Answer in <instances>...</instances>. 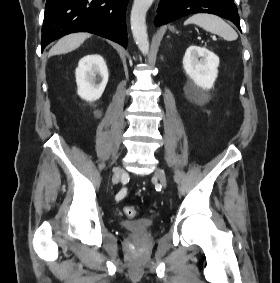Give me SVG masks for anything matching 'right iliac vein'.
Listing matches in <instances>:
<instances>
[{"mask_svg": "<svg viewBox=\"0 0 280 283\" xmlns=\"http://www.w3.org/2000/svg\"><path fill=\"white\" fill-rule=\"evenodd\" d=\"M123 173H124V170L121 167L116 168L114 170V174L112 178L113 183L117 182Z\"/></svg>", "mask_w": 280, "mask_h": 283, "instance_id": "63e3f726", "label": "right iliac vein"}]
</instances>
